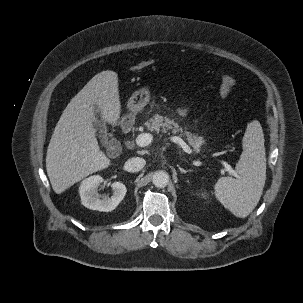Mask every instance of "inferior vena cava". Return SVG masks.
I'll use <instances>...</instances> for the list:
<instances>
[{
  "label": "inferior vena cava",
  "instance_id": "inferior-vena-cava-1",
  "mask_svg": "<svg viewBox=\"0 0 303 303\" xmlns=\"http://www.w3.org/2000/svg\"><path fill=\"white\" fill-rule=\"evenodd\" d=\"M146 161L140 157H133L125 162V170L128 172H138L145 166Z\"/></svg>",
  "mask_w": 303,
  "mask_h": 303
}]
</instances>
